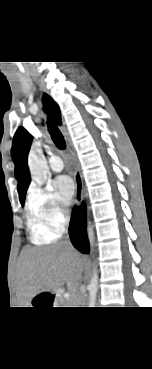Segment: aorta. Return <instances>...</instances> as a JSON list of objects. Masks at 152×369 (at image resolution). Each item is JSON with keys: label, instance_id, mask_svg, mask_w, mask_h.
<instances>
[{"label": "aorta", "instance_id": "obj_1", "mask_svg": "<svg viewBox=\"0 0 152 369\" xmlns=\"http://www.w3.org/2000/svg\"><path fill=\"white\" fill-rule=\"evenodd\" d=\"M28 166L32 176V179L38 184H44L47 175H48V167L45 161V158L42 153L41 143L34 142L32 144L29 156H28ZM87 233L90 241V245H94V231L91 222H87ZM89 290V307H95L96 304V296L98 291V272L97 268L94 267L93 275L88 285Z\"/></svg>", "mask_w": 152, "mask_h": 369}]
</instances>
